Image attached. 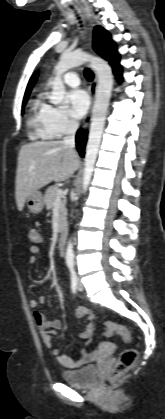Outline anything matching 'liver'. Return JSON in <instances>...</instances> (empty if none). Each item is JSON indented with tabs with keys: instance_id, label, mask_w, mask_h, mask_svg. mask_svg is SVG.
Returning <instances> with one entry per match:
<instances>
[{
	"instance_id": "obj_1",
	"label": "liver",
	"mask_w": 165,
	"mask_h": 419,
	"mask_svg": "<svg viewBox=\"0 0 165 419\" xmlns=\"http://www.w3.org/2000/svg\"><path fill=\"white\" fill-rule=\"evenodd\" d=\"M79 167L78 154L62 140L23 145L19 151L16 172L15 197L18 210L23 209L31 194L52 181L67 180Z\"/></svg>"
}]
</instances>
